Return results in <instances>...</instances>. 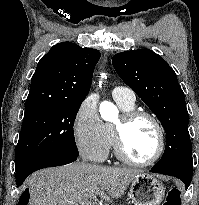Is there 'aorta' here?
Here are the masks:
<instances>
[{"instance_id":"1","label":"aorta","mask_w":199,"mask_h":205,"mask_svg":"<svg viewBox=\"0 0 199 205\" xmlns=\"http://www.w3.org/2000/svg\"><path fill=\"white\" fill-rule=\"evenodd\" d=\"M110 109H114V106L109 102H104L101 106V115L104 117L106 112Z\"/></svg>"}]
</instances>
